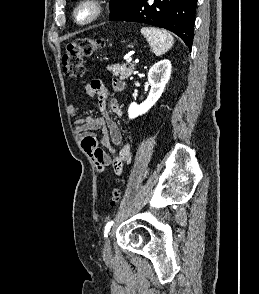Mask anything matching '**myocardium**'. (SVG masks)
I'll list each match as a JSON object with an SVG mask.
<instances>
[{"label":"myocardium","mask_w":259,"mask_h":294,"mask_svg":"<svg viewBox=\"0 0 259 294\" xmlns=\"http://www.w3.org/2000/svg\"><path fill=\"white\" fill-rule=\"evenodd\" d=\"M88 12L82 17L83 12ZM105 11L103 0H82L76 6L73 12V20L78 25H88L100 18Z\"/></svg>","instance_id":"1"}]
</instances>
